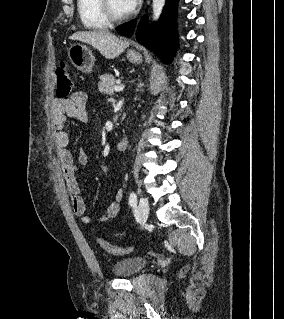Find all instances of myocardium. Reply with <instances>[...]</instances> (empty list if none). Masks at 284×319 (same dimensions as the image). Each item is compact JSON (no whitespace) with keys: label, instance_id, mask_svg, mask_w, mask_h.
<instances>
[{"label":"myocardium","instance_id":"obj_1","mask_svg":"<svg viewBox=\"0 0 284 319\" xmlns=\"http://www.w3.org/2000/svg\"><path fill=\"white\" fill-rule=\"evenodd\" d=\"M101 1V8L106 16V18L109 20V22L119 23L123 22L130 18L131 13H127L124 15H118L116 14L110 4V0H100Z\"/></svg>","mask_w":284,"mask_h":319}]
</instances>
